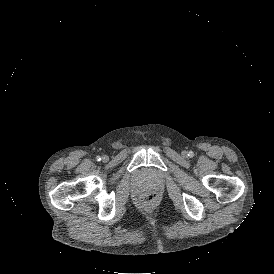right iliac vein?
I'll list each match as a JSON object with an SVG mask.
<instances>
[{
    "label": "right iliac vein",
    "instance_id": "63e3f726",
    "mask_svg": "<svg viewBox=\"0 0 274 274\" xmlns=\"http://www.w3.org/2000/svg\"><path fill=\"white\" fill-rule=\"evenodd\" d=\"M107 159H108V157H107L106 155H104V156L102 157V160H103V161H107Z\"/></svg>",
    "mask_w": 274,
    "mask_h": 274
}]
</instances>
